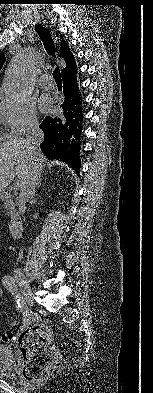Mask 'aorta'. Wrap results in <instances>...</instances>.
Returning <instances> with one entry per match:
<instances>
[{"label":"aorta","mask_w":153,"mask_h":393,"mask_svg":"<svg viewBox=\"0 0 153 393\" xmlns=\"http://www.w3.org/2000/svg\"><path fill=\"white\" fill-rule=\"evenodd\" d=\"M35 66L31 49H25L22 55L11 60L5 77V90L13 101H24L31 96Z\"/></svg>","instance_id":"obj_1"}]
</instances>
